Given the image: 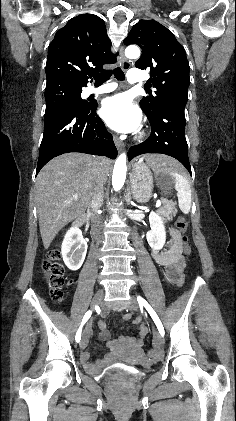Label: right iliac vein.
<instances>
[{
  "label": "right iliac vein",
  "instance_id": "63e3f726",
  "mask_svg": "<svg viewBox=\"0 0 236 421\" xmlns=\"http://www.w3.org/2000/svg\"><path fill=\"white\" fill-rule=\"evenodd\" d=\"M103 297H104V292L102 291V290H97L96 291V293H95V295H94V297H93V299H92V302H91V308L94 310V308L96 307V306H98V305H100L101 304V302H102V300H103ZM89 326H90V324H89ZM88 331L89 330H87V332H86V334H85V337L82 339V341H81V343H80V348L81 349H84L85 347H86V343H87V339H86V337H87V333H88Z\"/></svg>",
  "mask_w": 236,
  "mask_h": 421
}]
</instances>
